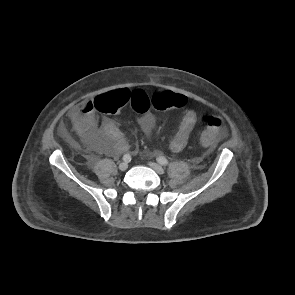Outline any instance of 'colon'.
<instances>
[{
	"label": "colon",
	"instance_id": "5ec220e1",
	"mask_svg": "<svg viewBox=\"0 0 295 295\" xmlns=\"http://www.w3.org/2000/svg\"><path fill=\"white\" fill-rule=\"evenodd\" d=\"M187 104V98L182 94L171 91L156 93L150 97L143 91L131 92L120 89L101 94L93 100L94 109L102 113H116L126 106H130L139 114L147 113L151 107L158 110L180 109ZM222 119L215 115H209L205 119L204 128L200 135V144L210 147L214 144L222 131Z\"/></svg>",
	"mask_w": 295,
	"mask_h": 295
}]
</instances>
